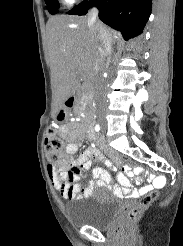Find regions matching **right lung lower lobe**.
Segmentation results:
<instances>
[{
    "label": "right lung lower lobe",
    "instance_id": "1",
    "mask_svg": "<svg viewBox=\"0 0 183 246\" xmlns=\"http://www.w3.org/2000/svg\"><path fill=\"white\" fill-rule=\"evenodd\" d=\"M152 0H91L74 7L68 14L85 15L89 7L99 9V18L129 40L142 33L151 14Z\"/></svg>",
    "mask_w": 183,
    "mask_h": 246
}]
</instances>
